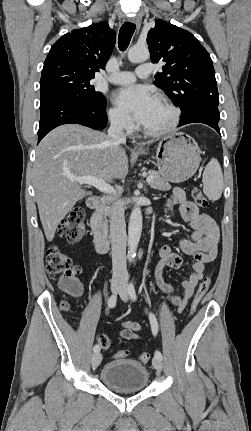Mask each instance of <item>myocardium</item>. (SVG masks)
<instances>
[{"label": "myocardium", "instance_id": "myocardium-1", "mask_svg": "<svg viewBox=\"0 0 251 431\" xmlns=\"http://www.w3.org/2000/svg\"><path fill=\"white\" fill-rule=\"evenodd\" d=\"M158 101H160L161 103H163L166 107L169 108V110L171 111V119L168 122V124L160 129H148L144 126L141 127L142 132L150 137H161V136H165L171 132H173L176 127L178 126L179 122H180V118H181V111L178 108L177 105H175L170 99L166 98V97H159Z\"/></svg>", "mask_w": 251, "mask_h": 431}]
</instances>
